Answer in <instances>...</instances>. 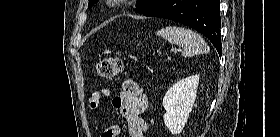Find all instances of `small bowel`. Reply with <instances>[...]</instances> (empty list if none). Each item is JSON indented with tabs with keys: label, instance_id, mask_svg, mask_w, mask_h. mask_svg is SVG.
<instances>
[{
	"label": "small bowel",
	"instance_id": "c3829d8e",
	"mask_svg": "<svg viewBox=\"0 0 280 137\" xmlns=\"http://www.w3.org/2000/svg\"><path fill=\"white\" fill-rule=\"evenodd\" d=\"M103 98H111L113 107L126 121L131 137H145L147 126L141 115L147 107V96L143 88L131 78L122 81V90L113 94L109 89H98L92 93L90 107L96 109ZM118 129L117 125L110 126L106 131Z\"/></svg>",
	"mask_w": 280,
	"mask_h": 137
}]
</instances>
